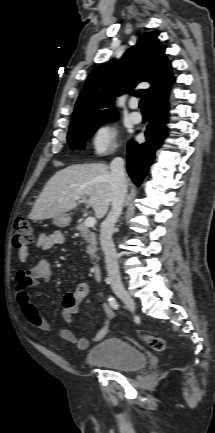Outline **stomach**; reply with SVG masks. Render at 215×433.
<instances>
[{"label": "stomach", "instance_id": "0dacf381", "mask_svg": "<svg viewBox=\"0 0 215 433\" xmlns=\"http://www.w3.org/2000/svg\"><path fill=\"white\" fill-rule=\"evenodd\" d=\"M53 222L55 225L59 226V227H66L70 224L71 222V217L69 214H61L59 216L54 217Z\"/></svg>", "mask_w": 215, "mask_h": 433}]
</instances>
